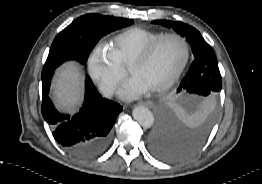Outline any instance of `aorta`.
Here are the masks:
<instances>
[{
    "instance_id": "obj_1",
    "label": "aorta",
    "mask_w": 262,
    "mask_h": 184,
    "mask_svg": "<svg viewBox=\"0 0 262 184\" xmlns=\"http://www.w3.org/2000/svg\"><path fill=\"white\" fill-rule=\"evenodd\" d=\"M134 120L144 128H150L154 121L152 112L145 106H136L132 112Z\"/></svg>"
}]
</instances>
